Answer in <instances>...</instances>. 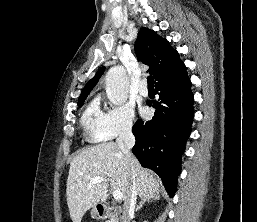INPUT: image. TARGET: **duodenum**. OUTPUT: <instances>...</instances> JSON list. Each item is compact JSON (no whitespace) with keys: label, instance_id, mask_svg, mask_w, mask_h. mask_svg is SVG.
Segmentation results:
<instances>
[{"label":"duodenum","instance_id":"obj_1","mask_svg":"<svg viewBox=\"0 0 257 222\" xmlns=\"http://www.w3.org/2000/svg\"><path fill=\"white\" fill-rule=\"evenodd\" d=\"M119 212L120 207H111L105 204H100L96 208V213L99 218H105L109 215L110 212Z\"/></svg>","mask_w":257,"mask_h":222}]
</instances>
